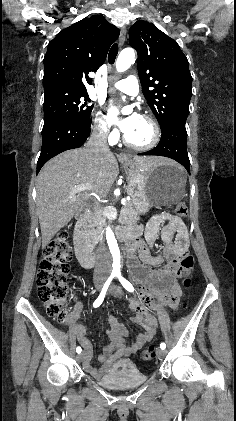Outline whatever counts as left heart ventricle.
Instances as JSON below:
<instances>
[{
	"label": "left heart ventricle",
	"instance_id": "b2bd125f",
	"mask_svg": "<svg viewBox=\"0 0 236 421\" xmlns=\"http://www.w3.org/2000/svg\"><path fill=\"white\" fill-rule=\"evenodd\" d=\"M128 140L134 144L144 145L151 141L153 131L150 124L139 117L129 132L126 133Z\"/></svg>",
	"mask_w": 236,
	"mask_h": 421
}]
</instances>
